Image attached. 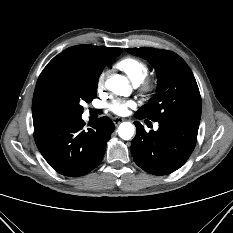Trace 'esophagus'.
I'll return each instance as SVG.
<instances>
[{
    "instance_id": "esophagus-1",
    "label": "esophagus",
    "mask_w": 233,
    "mask_h": 233,
    "mask_svg": "<svg viewBox=\"0 0 233 233\" xmlns=\"http://www.w3.org/2000/svg\"><path fill=\"white\" fill-rule=\"evenodd\" d=\"M124 121V119L123 118H120V117H114L113 118V123L115 124V125H118V124H120L121 122H123Z\"/></svg>"
}]
</instances>
